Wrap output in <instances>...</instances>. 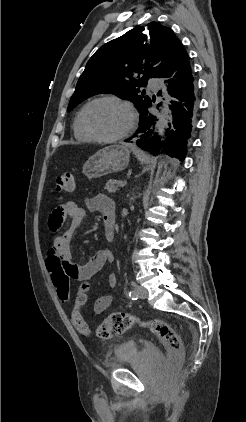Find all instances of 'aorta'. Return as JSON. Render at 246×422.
Returning a JSON list of instances; mask_svg holds the SVG:
<instances>
[{
	"instance_id": "obj_1",
	"label": "aorta",
	"mask_w": 246,
	"mask_h": 422,
	"mask_svg": "<svg viewBox=\"0 0 246 422\" xmlns=\"http://www.w3.org/2000/svg\"><path fill=\"white\" fill-rule=\"evenodd\" d=\"M168 102H169V100L166 99L164 101V105H167ZM167 118H168L167 113L163 112V111L158 116V121L156 123V131L160 136H163V134H164L165 128L167 126Z\"/></svg>"
}]
</instances>
